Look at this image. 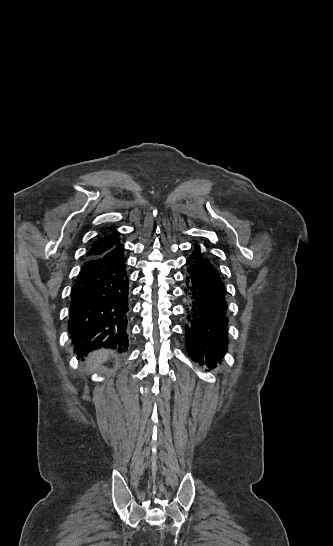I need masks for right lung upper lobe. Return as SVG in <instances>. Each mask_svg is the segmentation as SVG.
<instances>
[{
	"label": "right lung upper lobe",
	"instance_id": "obj_1",
	"mask_svg": "<svg viewBox=\"0 0 333 546\" xmlns=\"http://www.w3.org/2000/svg\"><path fill=\"white\" fill-rule=\"evenodd\" d=\"M118 245H120V238L118 233L114 230L113 234L100 239L92 246L91 250L88 252V258L98 257Z\"/></svg>",
	"mask_w": 333,
	"mask_h": 546
}]
</instances>
